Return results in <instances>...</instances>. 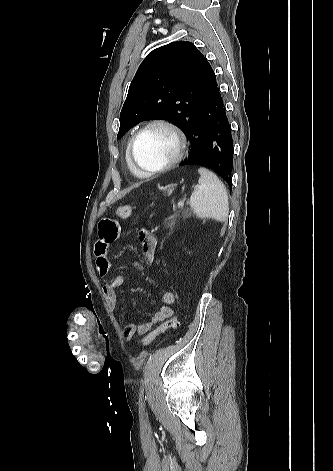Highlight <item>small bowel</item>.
Wrapping results in <instances>:
<instances>
[{
	"mask_svg": "<svg viewBox=\"0 0 333 471\" xmlns=\"http://www.w3.org/2000/svg\"><path fill=\"white\" fill-rule=\"evenodd\" d=\"M120 233V225L118 221L111 217H104L98 224V240L94 246V254L96 258V266L100 276L104 277L111 270V261L108 257V250L112 242H114ZM139 239L142 243L143 254L148 263H153L157 247L156 236L147 229L139 232ZM125 282V278L121 274L115 275L112 280L103 285V294L106 304L109 308L114 309L117 305L116 290ZM175 295L171 291H164L161 296L162 306L148 321L140 324H127L123 334L127 341H131L136 334L144 335L148 333L155 324L169 319L174 311Z\"/></svg>",
	"mask_w": 333,
	"mask_h": 471,
	"instance_id": "obj_1",
	"label": "small bowel"
}]
</instances>
